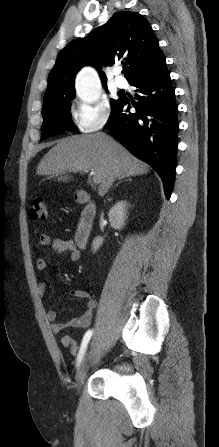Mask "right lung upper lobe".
I'll return each mask as SVG.
<instances>
[{
    "mask_svg": "<svg viewBox=\"0 0 219 447\" xmlns=\"http://www.w3.org/2000/svg\"><path fill=\"white\" fill-rule=\"evenodd\" d=\"M116 61L128 65L125 77L129 84L165 61L151 25L137 12H118L85 38L67 44L51 70L44 99L74 95V79L81 67L98 68L103 63L111 66ZM99 72L105 86L107 79Z\"/></svg>",
    "mask_w": 219,
    "mask_h": 447,
    "instance_id": "obj_1",
    "label": "right lung upper lobe"
}]
</instances>
